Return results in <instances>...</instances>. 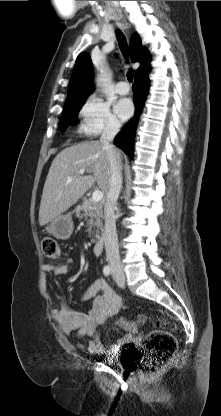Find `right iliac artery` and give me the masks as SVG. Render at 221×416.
Returning a JSON list of instances; mask_svg holds the SVG:
<instances>
[{
  "instance_id": "82829eb1",
  "label": "right iliac artery",
  "mask_w": 221,
  "mask_h": 416,
  "mask_svg": "<svg viewBox=\"0 0 221 416\" xmlns=\"http://www.w3.org/2000/svg\"><path fill=\"white\" fill-rule=\"evenodd\" d=\"M103 273H104V275H105V276L110 275V274H111V268H110V266L106 265V266L103 268Z\"/></svg>"
}]
</instances>
